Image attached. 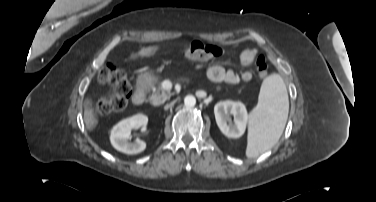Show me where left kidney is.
Returning <instances> with one entry per match:
<instances>
[{"instance_id": "1", "label": "left kidney", "mask_w": 376, "mask_h": 202, "mask_svg": "<svg viewBox=\"0 0 376 202\" xmlns=\"http://www.w3.org/2000/svg\"><path fill=\"white\" fill-rule=\"evenodd\" d=\"M216 123L221 132L229 138L241 137L248 122V112L242 102L220 101L214 106ZM230 115L234 116L231 121Z\"/></svg>"}]
</instances>
